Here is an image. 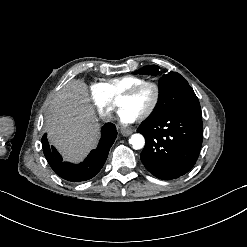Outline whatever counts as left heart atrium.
I'll list each match as a JSON object with an SVG mask.
<instances>
[{
    "instance_id": "left-heart-atrium-1",
    "label": "left heart atrium",
    "mask_w": 247,
    "mask_h": 247,
    "mask_svg": "<svg viewBox=\"0 0 247 247\" xmlns=\"http://www.w3.org/2000/svg\"><path fill=\"white\" fill-rule=\"evenodd\" d=\"M141 117V111L135 108L132 105L126 106L120 113H119V121L124 124H131L137 121Z\"/></svg>"
}]
</instances>
